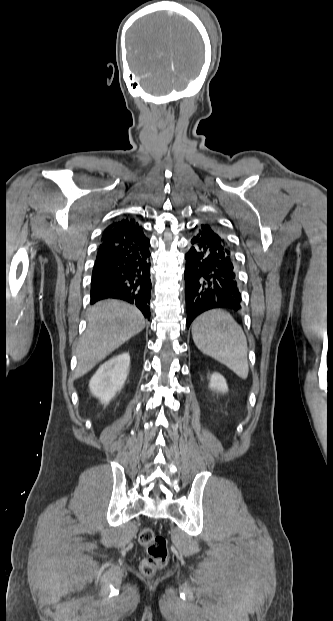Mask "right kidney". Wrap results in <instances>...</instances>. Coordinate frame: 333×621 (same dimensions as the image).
Instances as JSON below:
<instances>
[{
    "instance_id": "ca27d5eb",
    "label": "right kidney",
    "mask_w": 333,
    "mask_h": 621,
    "mask_svg": "<svg viewBox=\"0 0 333 621\" xmlns=\"http://www.w3.org/2000/svg\"><path fill=\"white\" fill-rule=\"evenodd\" d=\"M130 365L129 353H122L102 364L89 382L94 396L108 404L123 387Z\"/></svg>"
}]
</instances>
